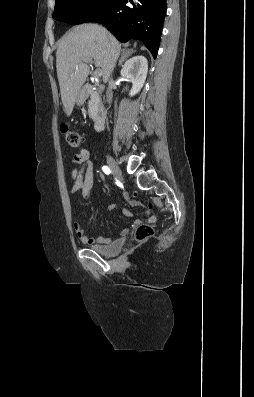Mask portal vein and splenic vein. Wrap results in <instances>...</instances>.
Listing matches in <instances>:
<instances>
[{
	"label": "portal vein and splenic vein",
	"instance_id": "1",
	"mask_svg": "<svg viewBox=\"0 0 254 397\" xmlns=\"http://www.w3.org/2000/svg\"><path fill=\"white\" fill-rule=\"evenodd\" d=\"M85 63H89L90 65L93 63V61L91 59H87L84 61ZM102 76V71L100 69L95 70L94 72V77L98 78Z\"/></svg>",
	"mask_w": 254,
	"mask_h": 397
}]
</instances>
